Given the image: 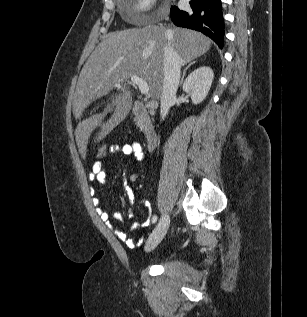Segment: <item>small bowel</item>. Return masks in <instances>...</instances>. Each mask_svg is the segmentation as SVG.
Instances as JSON below:
<instances>
[{
	"instance_id": "small-bowel-1",
	"label": "small bowel",
	"mask_w": 307,
	"mask_h": 317,
	"mask_svg": "<svg viewBox=\"0 0 307 317\" xmlns=\"http://www.w3.org/2000/svg\"><path fill=\"white\" fill-rule=\"evenodd\" d=\"M112 154H122L125 156H132L136 160L141 161L144 159V151L142 146L137 142H129L124 144H113L111 146ZM90 180L97 181L99 184L104 185L107 181V172L105 170L104 164L102 162L96 161L92 165V172L90 174ZM124 192L129 200V203L132 205L134 201V192L129 186H124ZM94 204L98 205L99 200L97 198L94 199ZM99 215L101 219L108 225L112 227L111 219L119 220L122 218V214L119 211L113 213H107L105 211H99ZM133 216L132 212L128 214V217L131 218ZM145 224H143L144 226ZM114 232L116 236L123 241L128 247L133 248L141 242H135L128 235L114 228Z\"/></svg>"
}]
</instances>
